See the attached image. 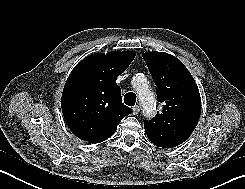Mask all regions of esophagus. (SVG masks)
<instances>
[{"mask_svg":"<svg viewBox=\"0 0 245 189\" xmlns=\"http://www.w3.org/2000/svg\"><path fill=\"white\" fill-rule=\"evenodd\" d=\"M132 110H133V113L136 115V114H138L139 111H140V106H139V105H135V106L132 108Z\"/></svg>","mask_w":245,"mask_h":189,"instance_id":"obj_1","label":"esophagus"}]
</instances>
